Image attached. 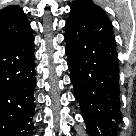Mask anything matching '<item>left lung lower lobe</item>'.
<instances>
[{"label":"left lung lower lobe","instance_id":"0a47b994","mask_svg":"<svg viewBox=\"0 0 136 136\" xmlns=\"http://www.w3.org/2000/svg\"><path fill=\"white\" fill-rule=\"evenodd\" d=\"M65 41L75 97L89 136H116L120 103L111 22L98 12L70 16Z\"/></svg>","mask_w":136,"mask_h":136}]
</instances>
